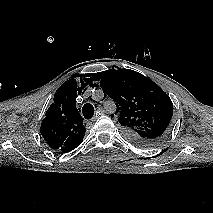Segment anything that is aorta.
<instances>
[{"instance_id":"762f6f07","label":"aorta","mask_w":213,"mask_h":213,"mask_svg":"<svg viewBox=\"0 0 213 213\" xmlns=\"http://www.w3.org/2000/svg\"><path fill=\"white\" fill-rule=\"evenodd\" d=\"M106 108L109 112H112L115 109V106L113 103L107 102L106 103Z\"/></svg>"}]
</instances>
